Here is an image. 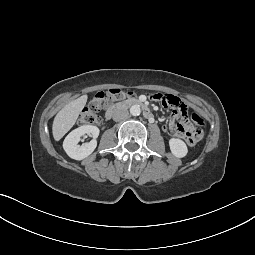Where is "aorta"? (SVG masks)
I'll list each match as a JSON object with an SVG mask.
<instances>
[{"mask_svg": "<svg viewBox=\"0 0 255 255\" xmlns=\"http://www.w3.org/2000/svg\"><path fill=\"white\" fill-rule=\"evenodd\" d=\"M141 113V109L139 105H132L130 107V114L133 116H138Z\"/></svg>", "mask_w": 255, "mask_h": 255, "instance_id": "762f6f07", "label": "aorta"}]
</instances>
